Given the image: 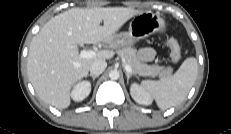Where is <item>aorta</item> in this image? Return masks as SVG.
I'll list each match as a JSON object with an SVG mask.
<instances>
[{"mask_svg": "<svg viewBox=\"0 0 231 134\" xmlns=\"http://www.w3.org/2000/svg\"><path fill=\"white\" fill-rule=\"evenodd\" d=\"M120 74L117 70H112L109 72V77L111 80H117L119 78Z\"/></svg>", "mask_w": 231, "mask_h": 134, "instance_id": "1", "label": "aorta"}]
</instances>
